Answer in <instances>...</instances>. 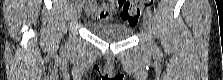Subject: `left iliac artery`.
Segmentation results:
<instances>
[{
	"instance_id": "left-iliac-artery-1",
	"label": "left iliac artery",
	"mask_w": 223,
	"mask_h": 80,
	"mask_svg": "<svg viewBox=\"0 0 223 80\" xmlns=\"http://www.w3.org/2000/svg\"><path fill=\"white\" fill-rule=\"evenodd\" d=\"M146 16L149 18V20L151 21L153 20L152 12L149 8H147Z\"/></svg>"
}]
</instances>
